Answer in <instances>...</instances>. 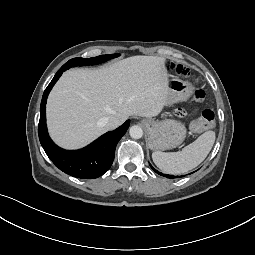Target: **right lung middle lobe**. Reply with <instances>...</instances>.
I'll return each instance as SVG.
<instances>
[{"instance_id":"obj_1","label":"right lung middle lobe","mask_w":255,"mask_h":255,"mask_svg":"<svg viewBox=\"0 0 255 255\" xmlns=\"http://www.w3.org/2000/svg\"><path fill=\"white\" fill-rule=\"evenodd\" d=\"M119 56V54H110V55H100L97 57H92V58H73L71 60H69L67 63H65L64 65H67L69 67H74V66H83V65H95V64H99L102 63L104 61H107L111 58H115Z\"/></svg>"}]
</instances>
